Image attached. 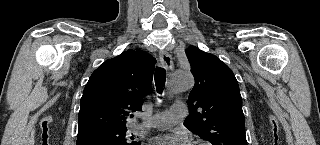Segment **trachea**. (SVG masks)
<instances>
[{
	"mask_svg": "<svg viewBox=\"0 0 320 145\" xmlns=\"http://www.w3.org/2000/svg\"><path fill=\"white\" fill-rule=\"evenodd\" d=\"M154 79H155L157 92L161 94L163 91V85L165 84V81H166V70L164 68L157 67L154 75Z\"/></svg>",
	"mask_w": 320,
	"mask_h": 145,
	"instance_id": "3493384b",
	"label": "trachea"
}]
</instances>
